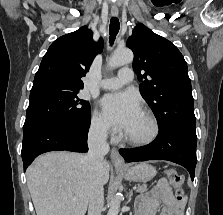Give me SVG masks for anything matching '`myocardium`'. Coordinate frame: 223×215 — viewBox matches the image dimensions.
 Masks as SVG:
<instances>
[{"mask_svg": "<svg viewBox=\"0 0 223 215\" xmlns=\"http://www.w3.org/2000/svg\"><path fill=\"white\" fill-rule=\"evenodd\" d=\"M140 112L148 120L150 124V132L146 137L135 138L126 136L124 133L118 134L116 142L131 147H146L151 145L157 138L159 133V125L153 113L147 109H141Z\"/></svg>", "mask_w": 223, "mask_h": 215, "instance_id": "obj_1", "label": "myocardium"}]
</instances>
